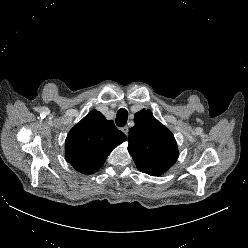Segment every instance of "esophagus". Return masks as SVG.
I'll return each instance as SVG.
<instances>
[{"label": "esophagus", "instance_id": "34e87169", "mask_svg": "<svg viewBox=\"0 0 248 248\" xmlns=\"http://www.w3.org/2000/svg\"><path fill=\"white\" fill-rule=\"evenodd\" d=\"M121 131L127 136L128 135V132H129V129L127 126H124L121 128Z\"/></svg>", "mask_w": 248, "mask_h": 248}]
</instances>
